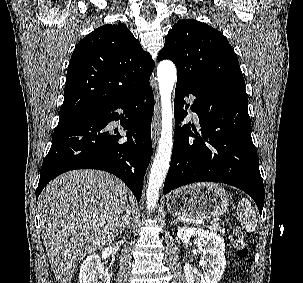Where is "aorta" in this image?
I'll list each match as a JSON object with an SVG mask.
<instances>
[{
  "label": "aorta",
  "instance_id": "762f6f07",
  "mask_svg": "<svg viewBox=\"0 0 303 283\" xmlns=\"http://www.w3.org/2000/svg\"><path fill=\"white\" fill-rule=\"evenodd\" d=\"M159 91L161 95V136L157 154L153 161L148 188L146 191V207L149 211L154 210L159 199V191L167 175L172 147H173V107L171 95L177 79V71L174 63L163 60L157 67Z\"/></svg>",
  "mask_w": 303,
  "mask_h": 283
}]
</instances>
